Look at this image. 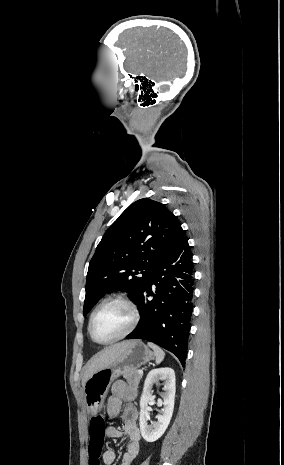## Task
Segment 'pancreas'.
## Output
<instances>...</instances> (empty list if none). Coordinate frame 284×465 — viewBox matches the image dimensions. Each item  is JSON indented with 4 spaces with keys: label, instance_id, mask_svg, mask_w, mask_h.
I'll use <instances>...</instances> for the list:
<instances>
[{
    "label": "pancreas",
    "instance_id": "obj_1",
    "mask_svg": "<svg viewBox=\"0 0 284 465\" xmlns=\"http://www.w3.org/2000/svg\"><path fill=\"white\" fill-rule=\"evenodd\" d=\"M123 377L124 379H126L130 387H134V389H138L140 379H142L143 375H138V371H126V373H123Z\"/></svg>",
    "mask_w": 284,
    "mask_h": 465
}]
</instances>
